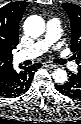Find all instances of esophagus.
I'll return each mask as SVG.
<instances>
[{
    "label": "esophagus",
    "instance_id": "esophagus-1",
    "mask_svg": "<svg viewBox=\"0 0 81 124\" xmlns=\"http://www.w3.org/2000/svg\"><path fill=\"white\" fill-rule=\"evenodd\" d=\"M45 65H46V66H49V67H51V68H56V67H58L56 64H54V63H52V62H46Z\"/></svg>",
    "mask_w": 81,
    "mask_h": 124
}]
</instances>
